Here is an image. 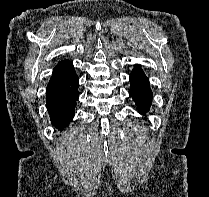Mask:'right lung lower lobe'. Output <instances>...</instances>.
<instances>
[{
	"label": "right lung lower lobe",
	"instance_id": "right-lung-lower-lobe-1",
	"mask_svg": "<svg viewBox=\"0 0 209 197\" xmlns=\"http://www.w3.org/2000/svg\"><path fill=\"white\" fill-rule=\"evenodd\" d=\"M78 87V76L72 62L60 61L46 88V104L51 122L59 130H63L74 116Z\"/></svg>",
	"mask_w": 209,
	"mask_h": 197
}]
</instances>
